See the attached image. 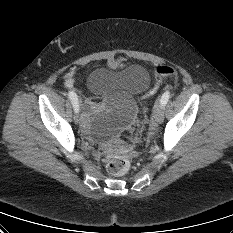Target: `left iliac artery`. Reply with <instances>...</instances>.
<instances>
[{
	"label": "left iliac artery",
	"instance_id": "1",
	"mask_svg": "<svg viewBox=\"0 0 233 233\" xmlns=\"http://www.w3.org/2000/svg\"><path fill=\"white\" fill-rule=\"evenodd\" d=\"M169 97H170V92H169V91H166V92L162 95L160 102H161V104H162L163 106H165V105L167 104V102H168V100H169Z\"/></svg>",
	"mask_w": 233,
	"mask_h": 233
}]
</instances>
